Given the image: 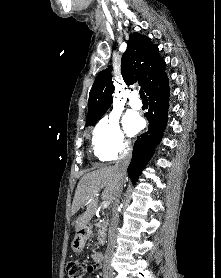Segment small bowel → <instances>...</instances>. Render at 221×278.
Here are the masks:
<instances>
[{
    "label": "small bowel",
    "instance_id": "c3829d8e",
    "mask_svg": "<svg viewBox=\"0 0 221 278\" xmlns=\"http://www.w3.org/2000/svg\"><path fill=\"white\" fill-rule=\"evenodd\" d=\"M96 271V268L94 266H91V271L89 274L94 273Z\"/></svg>",
    "mask_w": 221,
    "mask_h": 278
}]
</instances>
